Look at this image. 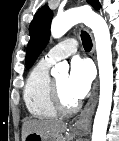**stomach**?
I'll use <instances>...</instances> for the list:
<instances>
[{"label":"stomach","mask_w":119,"mask_h":141,"mask_svg":"<svg viewBox=\"0 0 119 141\" xmlns=\"http://www.w3.org/2000/svg\"><path fill=\"white\" fill-rule=\"evenodd\" d=\"M66 137L62 134H40L36 132L29 133L24 141H65Z\"/></svg>","instance_id":"0dacf381"}]
</instances>
